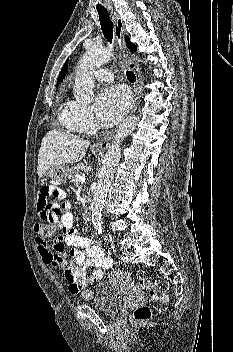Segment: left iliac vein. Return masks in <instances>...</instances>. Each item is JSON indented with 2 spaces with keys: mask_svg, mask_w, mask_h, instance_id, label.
<instances>
[{
  "mask_svg": "<svg viewBox=\"0 0 233 352\" xmlns=\"http://www.w3.org/2000/svg\"><path fill=\"white\" fill-rule=\"evenodd\" d=\"M125 256H126V259H125L126 262H131L132 261L131 252L126 251L125 252Z\"/></svg>",
  "mask_w": 233,
  "mask_h": 352,
  "instance_id": "obj_1",
  "label": "left iliac vein"
}]
</instances>
